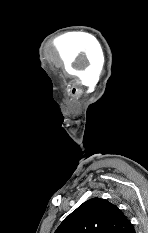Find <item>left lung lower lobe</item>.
I'll use <instances>...</instances> for the list:
<instances>
[{"label":"left lung lower lobe","instance_id":"0a47b994","mask_svg":"<svg viewBox=\"0 0 148 233\" xmlns=\"http://www.w3.org/2000/svg\"><path fill=\"white\" fill-rule=\"evenodd\" d=\"M130 233H135V230H134V228L130 231Z\"/></svg>","mask_w":148,"mask_h":233}]
</instances>
